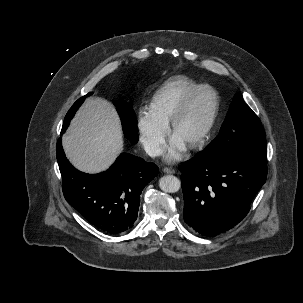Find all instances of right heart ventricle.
Returning <instances> with one entry per match:
<instances>
[{"mask_svg":"<svg viewBox=\"0 0 303 303\" xmlns=\"http://www.w3.org/2000/svg\"><path fill=\"white\" fill-rule=\"evenodd\" d=\"M199 85L201 84L186 76L167 79L154 92L149 105L150 112L159 122L167 125L183 99Z\"/></svg>","mask_w":303,"mask_h":303,"instance_id":"obj_1","label":"right heart ventricle"}]
</instances>
